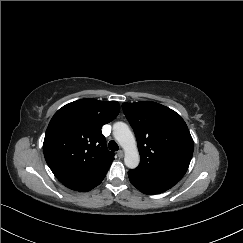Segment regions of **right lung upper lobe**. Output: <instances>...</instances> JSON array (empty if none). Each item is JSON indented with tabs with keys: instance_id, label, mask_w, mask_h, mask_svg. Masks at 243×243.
<instances>
[{
	"instance_id": "cb5924a9",
	"label": "right lung upper lobe",
	"mask_w": 243,
	"mask_h": 243,
	"mask_svg": "<svg viewBox=\"0 0 243 243\" xmlns=\"http://www.w3.org/2000/svg\"><path fill=\"white\" fill-rule=\"evenodd\" d=\"M116 101L86 98L60 108L46 130L43 152L56 178L64 185L86 179L111 165L114 153L101 133L116 118Z\"/></svg>"
}]
</instances>
